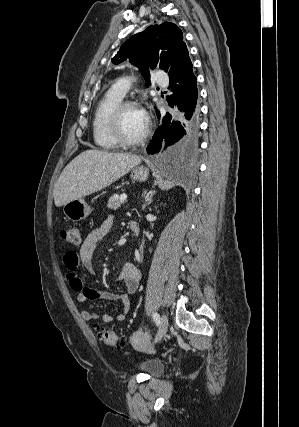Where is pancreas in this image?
I'll return each mask as SVG.
<instances>
[{
    "label": "pancreas",
    "instance_id": "pancreas-1",
    "mask_svg": "<svg viewBox=\"0 0 299 427\" xmlns=\"http://www.w3.org/2000/svg\"><path fill=\"white\" fill-rule=\"evenodd\" d=\"M124 204V201L120 199L117 194H113L108 201L107 207L111 210L118 209L121 205Z\"/></svg>",
    "mask_w": 299,
    "mask_h": 427
}]
</instances>
